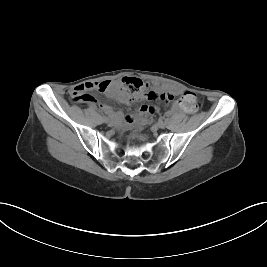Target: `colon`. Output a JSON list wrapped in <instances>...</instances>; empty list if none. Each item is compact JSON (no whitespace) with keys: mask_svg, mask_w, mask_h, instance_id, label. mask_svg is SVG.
<instances>
[{"mask_svg":"<svg viewBox=\"0 0 267 267\" xmlns=\"http://www.w3.org/2000/svg\"><path fill=\"white\" fill-rule=\"evenodd\" d=\"M109 86L108 81H103L95 88L99 91H104ZM123 89L130 95L132 101H137L142 98H146L153 103H168L172 100V96L169 93H156L146 92L143 82L135 78H127L123 83ZM94 90L88 84H82L73 91L71 99L74 103H81L92 99L90 91ZM179 104L187 113H196L200 109V102L197 95L193 92H186L179 100Z\"/></svg>","mask_w":267,"mask_h":267,"instance_id":"colon-1","label":"colon"}]
</instances>
